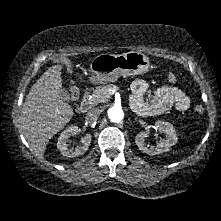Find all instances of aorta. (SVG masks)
<instances>
[{
  "label": "aorta",
  "instance_id": "1",
  "mask_svg": "<svg viewBox=\"0 0 221 221\" xmlns=\"http://www.w3.org/2000/svg\"><path fill=\"white\" fill-rule=\"evenodd\" d=\"M108 117L112 122L119 123L124 117L123 109L119 106H112L108 109Z\"/></svg>",
  "mask_w": 221,
  "mask_h": 221
}]
</instances>
